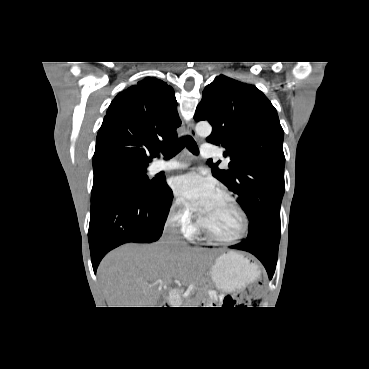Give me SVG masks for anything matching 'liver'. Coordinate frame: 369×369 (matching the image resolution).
<instances>
[{"label": "liver", "instance_id": "obj_1", "mask_svg": "<svg viewBox=\"0 0 369 369\" xmlns=\"http://www.w3.org/2000/svg\"><path fill=\"white\" fill-rule=\"evenodd\" d=\"M209 259L208 252L185 244L131 243L105 256L97 275L109 307H156L160 284L196 282Z\"/></svg>", "mask_w": 369, "mask_h": 369}]
</instances>
